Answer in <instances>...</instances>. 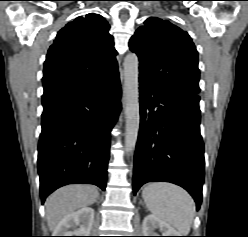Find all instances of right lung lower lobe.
I'll use <instances>...</instances> for the list:
<instances>
[{"label":"right lung lower lobe","mask_w":248,"mask_h":237,"mask_svg":"<svg viewBox=\"0 0 248 237\" xmlns=\"http://www.w3.org/2000/svg\"><path fill=\"white\" fill-rule=\"evenodd\" d=\"M118 70L42 96L38 172L42 203L57 188L89 183L105 190L110 132L121 110Z\"/></svg>","instance_id":"obj_1"}]
</instances>
